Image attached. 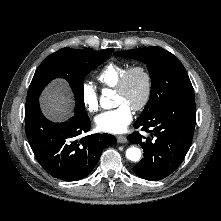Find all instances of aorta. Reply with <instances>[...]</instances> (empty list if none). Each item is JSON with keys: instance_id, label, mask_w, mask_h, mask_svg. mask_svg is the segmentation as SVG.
Here are the masks:
<instances>
[{"instance_id": "aorta-1", "label": "aorta", "mask_w": 221, "mask_h": 221, "mask_svg": "<svg viewBox=\"0 0 221 221\" xmlns=\"http://www.w3.org/2000/svg\"><path fill=\"white\" fill-rule=\"evenodd\" d=\"M100 105L104 109H110L112 107L110 91H105L100 97ZM126 157L133 162H137L140 160L141 150L138 147H130L126 150Z\"/></svg>"}]
</instances>
